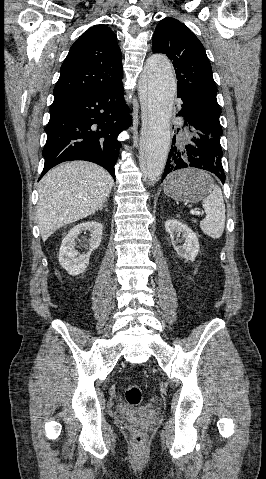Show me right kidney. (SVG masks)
I'll use <instances>...</instances> for the list:
<instances>
[{"label":"right kidney","instance_id":"1","mask_svg":"<svg viewBox=\"0 0 266 479\" xmlns=\"http://www.w3.org/2000/svg\"><path fill=\"white\" fill-rule=\"evenodd\" d=\"M83 231L90 232L89 251L86 254H79L75 250L78 236ZM103 226L96 221L83 222L74 226L67 236L62 240L59 250V262L61 266L71 276H76L87 268L91 253L97 249L101 243Z\"/></svg>","mask_w":266,"mask_h":479}]
</instances>
